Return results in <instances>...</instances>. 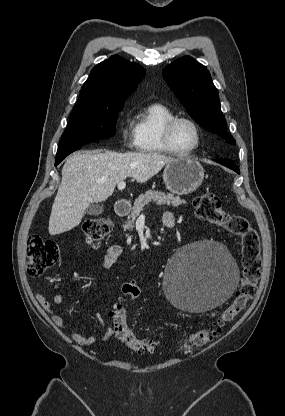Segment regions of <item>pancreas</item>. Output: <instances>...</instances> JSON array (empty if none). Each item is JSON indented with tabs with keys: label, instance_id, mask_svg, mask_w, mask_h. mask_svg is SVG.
I'll return each instance as SVG.
<instances>
[{
	"label": "pancreas",
	"instance_id": "cf45deb5",
	"mask_svg": "<svg viewBox=\"0 0 285 416\" xmlns=\"http://www.w3.org/2000/svg\"><path fill=\"white\" fill-rule=\"evenodd\" d=\"M149 202H156L157 206H164V204H167V206H174V208H178L180 204H187L185 200H181L179 196H174V194H165V192H153V190H148V192L141 194V196H138L137 200H135L130 216L131 220H128L125 226H123L125 230H132V228H134L136 218L140 216L144 206H147Z\"/></svg>",
	"mask_w": 285,
	"mask_h": 416
}]
</instances>
